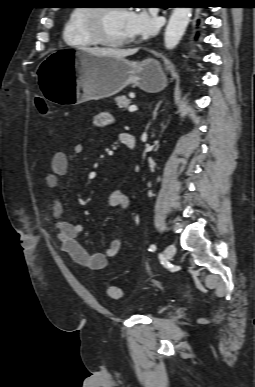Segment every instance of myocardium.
Here are the masks:
<instances>
[{"instance_id":"1","label":"myocardium","mask_w":255,"mask_h":387,"mask_svg":"<svg viewBox=\"0 0 255 387\" xmlns=\"http://www.w3.org/2000/svg\"><path fill=\"white\" fill-rule=\"evenodd\" d=\"M112 9L126 10L125 8L115 6H94L89 8L85 18L86 30L96 44L109 47L124 46L131 42L130 38L122 40L110 39L105 35L103 30V16L107 11Z\"/></svg>"}]
</instances>
